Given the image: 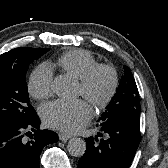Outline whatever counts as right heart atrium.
<instances>
[{
	"instance_id": "right-heart-atrium-1",
	"label": "right heart atrium",
	"mask_w": 168,
	"mask_h": 168,
	"mask_svg": "<svg viewBox=\"0 0 168 168\" xmlns=\"http://www.w3.org/2000/svg\"><path fill=\"white\" fill-rule=\"evenodd\" d=\"M29 94L37 99L43 100L53 93V74L47 65H40L31 73L28 81Z\"/></svg>"
}]
</instances>
